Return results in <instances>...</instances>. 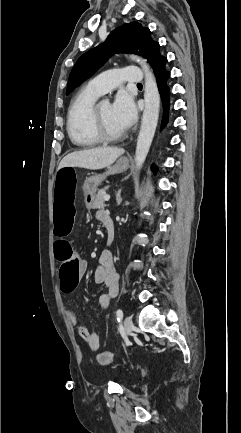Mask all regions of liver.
I'll return each mask as SVG.
<instances>
[{
	"instance_id": "6515ba94",
	"label": "liver",
	"mask_w": 241,
	"mask_h": 433,
	"mask_svg": "<svg viewBox=\"0 0 241 433\" xmlns=\"http://www.w3.org/2000/svg\"><path fill=\"white\" fill-rule=\"evenodd\" d=\"M125 152L122 148L99 147L83 151H76L66 155L60 162L58 169L65 166L79 167L90 170L103 169L110 166Z\"/></svg>"
}]
</instances>
